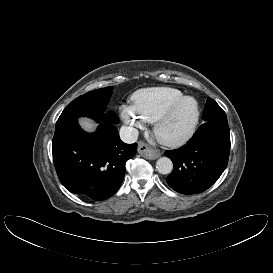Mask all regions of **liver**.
I'll use <instances>...</instances> for the list:
<instances>
[{
    "mask_svg": "<svg viewBox=\"0 0 273 273\" xmlns=\"http://www.w3.org/2000/svg\"><path fill=\"white\" fill-rule=\"evenodd\" d=\"M80 125L84 128V129H86V130H88V131H91V130H93L94 129V123L91 121V120H89V119H87V118H83V119H80Z\"/></svg>",
    "mask_w": 273,
    "mask_h": 273,
    "instance_id": "6515ba94",
    "label": "liver"
}]
</instances>
